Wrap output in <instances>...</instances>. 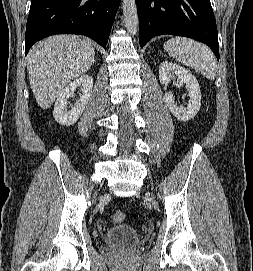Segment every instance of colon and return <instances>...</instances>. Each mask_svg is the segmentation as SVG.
I'll return each mask as SVG.
<instances>
[{
    "instance_id": "obj_1",
    "label": "colon",
    "mask_w": 253,
    "mask_h": 271,
    "mask_svg": "<svg viewBox=\"0 0 253 271\" xmlns=\"http://www.w3.org/2000/svg\"><path fill=\"white\" fill-rule=\"evenodd\" d=\"M125 219V215L122 211H115L112 214V221L115 223H122Z\"/></svg>"
}]
</instances>
